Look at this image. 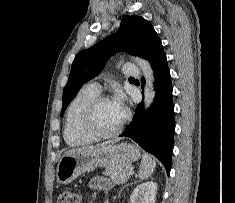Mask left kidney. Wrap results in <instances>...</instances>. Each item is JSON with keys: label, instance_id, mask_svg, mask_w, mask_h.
<instances>
[{"label": "left kidney", "instance_id": "5707ae66", "mask_svg": "<svg viewBox=\"0 0 235 203\" xmlns=\"http://www.w3.org/2000/svg\"><path fill=\"white\" fill-rule=\"evenodd\" d=\"M157 183L148 181L136 186L130 196V203H155Z\"/></svg>", "mask_w": 235, "mask_h": 203}]
</instances>
